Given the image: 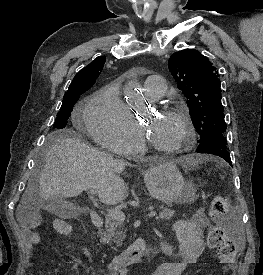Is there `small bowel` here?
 Wrapping results in <instances>:
<instances>
[{
  "label": "small bowel",
  "mask_w": 263,
  "mask_h": 275,
  "mask_svg": "<svg viewBox=\"0 0 263 275\" xmlns=\"http://www.w3.org/2000/svg\"><path fill=\"white\" fill-rule=\"evenodd\" d=\"M27 226V232L30 235L32 244L39 242V237L31 231V226ZM214 227L210 223L203 209H199L189 219H181L174 223L173 231L179 243L177 251H174L172 246L164 242L163 251L172 258V261L165 262L157 266L152 275H182L189 264L197 261L200 255L207 247L204 239L205 231H211ZM82 253L85 256H91L92 253L87 248H82ZM127 272H121L110 269L108 275H126Z\"/></svg>",
  "instance_id": "1"
}]
</instances>
